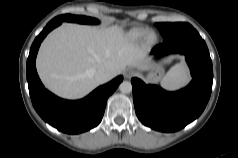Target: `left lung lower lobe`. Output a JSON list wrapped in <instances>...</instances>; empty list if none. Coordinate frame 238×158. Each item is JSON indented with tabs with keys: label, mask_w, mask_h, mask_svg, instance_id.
I'll use <instances>...</instances> for the list:
<instances>
[{
	"label": "left lung lower lobe",
	"mask_w": 238,
	"mask_h": 158,
	"mask_svg": "<svg viewBox=\"0 0 238 158\" xmlns=\"http://www.w3.org/2000/svg\"><path fill=\"white\" fill-rule=\"evenodd\" d=\"M168 53L185 55L193 77L186 88L167 92L158 86L146 85L138 78L131 80L138 119L162 132L178 131L199 117L210 98L213 81L208 48L194 28L165 39L151 51L157 57Z\"/></svg>",
	"instance_id": "0a47b994"
}]
</instances>
